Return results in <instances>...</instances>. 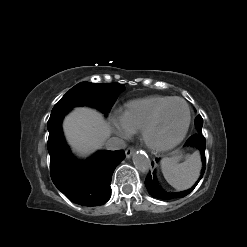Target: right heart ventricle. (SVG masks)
Here are the masks:
<instances>
[{"label":"right heart ventricle","instance_id":"right-heart-ventricle-1","mask_svg":"<svg viewBox=\"0 0 247 247\" xmlns=\"http://www.w3.org/2000/svg\"><path fill=\"white\" fill-rule=\"evenodd\" d=\"M171 98V96L152 95L130 101L126 104L123 116L132 131H140L156 109Z\"/></svg>","mask_w":247,"mask_h":247}]
</instances>
